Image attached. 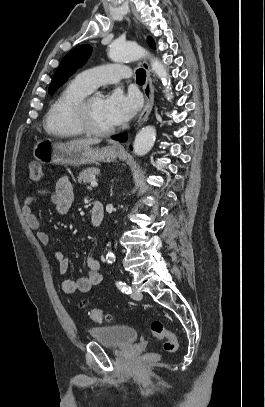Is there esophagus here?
Instances as JSON below:
<instances>
[{
	"instance_id": "esophagus-1",
	"label": "esophagus",
	"mask_w": 265,
	"mask_h": 407,
	"mask_svg": "<svg viewBox=\"0 0 265 407\" xmlns=\"http://www.w3.org/2000/svg\"><path fill=\"white\" fill-rule=\"evenodd\" d=\"M142 66L145 70L146 74V79H145V84L143 87V92H144V97H145V106L141 114L139 115L137 122H136V128L141 127L145 121L147 120L152 107H153V102H154V86L151 78V72H150V67L149 63L146 59L143 60ZM122 148L121 144H114L112 146L113 150H119Z\"/></svg>"
}]
</instances>
